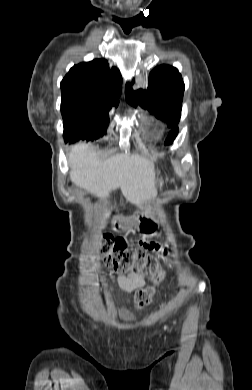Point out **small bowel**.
<instances>
[{
	"mask_svg": "<svg viewBox=\"0 0 252 390\" xmlns=\"http://www.w3.org/2000/svg\"><path fill=\"white\" fill-rule=\"evenodd\" d=\"M147 249L152 252L163 251L164 254L167 253L165 249L162 250L160 245L155 242L148 243ZM116 282L118 289L131 293L144 287L145 277L144 275L137 273L121 274L116 277Z\"/></svg>",
	"mask_w": 252,
	"mask_h": 390,
	"instance_id": "obj_1",
	"label": "small bowel"
}]
</instances>
